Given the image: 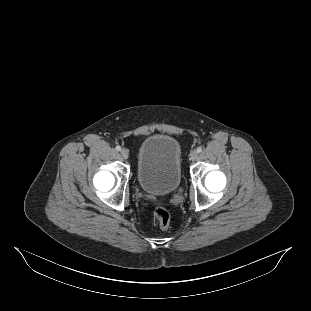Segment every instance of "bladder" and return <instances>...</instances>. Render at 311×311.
Masks as SVG:
<instances>
[{
    "mask_svg": "<svg viewBox=\"0 0 311 311\" xmlns=\"http://www.w3.org/2000/svg\"><path fill=\"white\" fill-rule=\"evenodd\" d=\"M182 152L179 142L168 134L145 138L138 149L136 180L151 195H167L182 182Z\"/></svg>",
    "mask_w": 311,
    "mask_h": 311,
    "instance_id": "1",
    "label": "bladder"
}]
</instances>
